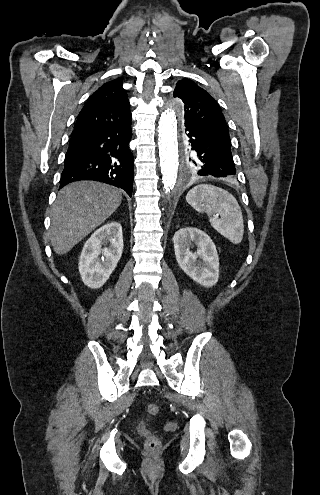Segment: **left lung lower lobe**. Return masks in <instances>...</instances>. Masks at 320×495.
Masks as SVG:
<instances>
[{
    "label": "left lung lower lobe",
    "mask_w": 320,
    "mask_h": 495,
    "mask_svg": "<svg viewBox=\"0 0 320 495\" xmlns=\"http://www.w3.org/2000/svg\"><path fill=\"white\" fill-rule=\"evenodd\" d=\"M184 129L191 147L200 153L199 176L227 177L236 174L230 147L217 141L193 121L185 120Z\"/></svg>",
    "instance_id": "1"
}]
</instances>
